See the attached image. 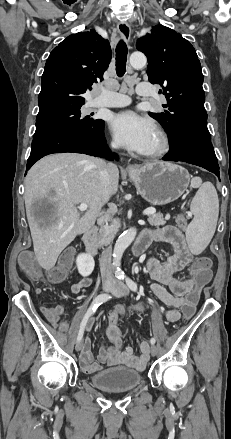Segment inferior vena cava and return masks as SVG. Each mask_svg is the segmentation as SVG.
Wrapping results in <instances>:
<instances>
[{
	"label": "inferior vena cava",
	"instance_id": "obj_1",
	"mask_svg": "<svg viewBox=\"0 0 231 439\" xmlns=\"http://www.w3.org/2000/svg\"><path fill=\"white\" fill-rule=\"evenodd\" d=\"M112 148H117V144L116 143H112L111 144ZM113 164H107L105 162L100 163V170H99V174H100V178H101V183L104 189V194L107 196L106 197V202L108 201V195L110 192V188H109V182H110V177H109V168L112 166ZM111 253H112V249L111 246H108L106 249L103 250L101 257L99 259L100 262V271H101V277L103 281H113L114 280V276H113V271H112V264H111Z\"/></svg>",
	"mask_w": 231,
	"mask_h": 439
}]
</instances>
